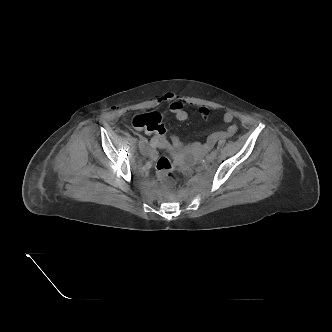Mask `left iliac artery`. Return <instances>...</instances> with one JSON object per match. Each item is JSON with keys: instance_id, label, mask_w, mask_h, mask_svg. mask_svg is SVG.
Here are the masks:
<instances>
[{"instance_id": "left-iliac-artery-1", "label": "left iliac artery", "mask_w": 332, "mask_h": 332, "mask_svg": "<svg viewBox=\"0 0 332 332\" xmlns=\"http://www.w3.org/2000/svg\"><path fill=\"white\" fill-rule=\"evenodd\" d=\"M211 154H212L213 156L216 157V155H217V151H216V150H213V151L211 152Z\"/></svg>"}]
</instances>
